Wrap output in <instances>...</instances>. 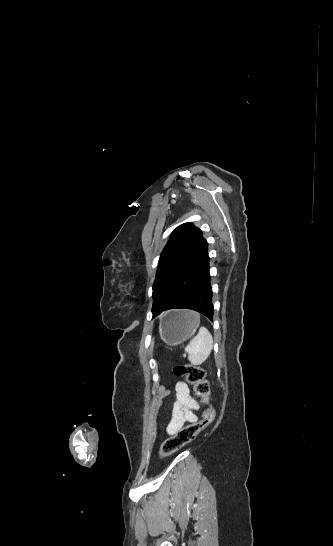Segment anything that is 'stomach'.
Instances as JSON below:
<instances>
[{
    "label": "stomach",
    "instance_id": "1",
    "mask_svg": "<svg viewBox=\"0 0 333 546\" xmlns=\"http://www.w3.org/2000/svg\"><path fill=\"white\" fill-rule=\"evenodd\" d=\"M200 325L197 313L187 310H173L165 314L159 323L163 342L176 346L189 339Z\"/></svg>",
    "mask_w": 333,
    "mask_h": 546
}]
</instances>
